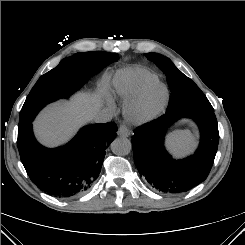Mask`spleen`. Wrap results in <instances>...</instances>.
Instances as JSON below:
<instances>
[{"instance_id": "obj_1", "label": "spleen", "mask_w": 245, "mask_h": 245, "mask_svg": "<svg viewBox=\"0 0 245 245\" xmlns=\"http://www.w3.org/2000/svg\"><path fill=\"white\" fill-rule=\"evenodd\" d=\"M194 142L193 134L188 130L174 132L168 139V147L174 154H183Z\"/></svg>"}]
</instances>
